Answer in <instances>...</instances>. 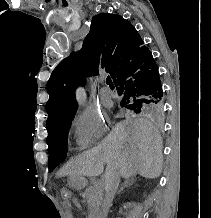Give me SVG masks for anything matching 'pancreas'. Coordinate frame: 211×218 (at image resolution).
I'll list each match as a JSON object with an SVG mask.
<instances>
[{"label":"pancreas","mask_w":211,"mask_h":218,"mask_svg":"<svg viewBox=\"0 0 211 218\" xmlns=\"http://www.w3.org/2000/svg\"><path fill=\"white\" fill-rule=\"evenodd\" d=\"M89 190L85 191V199L87 200V204L89 206V218L92 216H97L99 212L100 206H102V193L103 188H99V186H89Z\"/></svg>","instance_id":"pancreas-1"}]
</instances>
